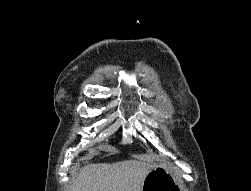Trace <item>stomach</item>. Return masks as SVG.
I'll return each instance as SVG.
<instances>
[{
    "label": "stomach",
    "mask_w": 251,
    "mask_h": 191,
    "mask_svg": "<svg viewBox=\"0 0 251 191\" xmlns=\"http://www.w3.org/2000/svg\"><path fill=\"white\" fill-rule=\"evenodd\" d=\"M142 191H180V187L172 171L157 165L145 175Z\"/></svg>",
    "instance_id": "0dacf381"
}]
</instances>
